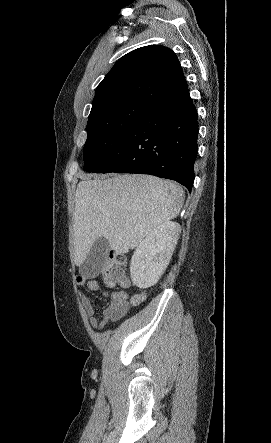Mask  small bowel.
<instances>
[{
	"label": "small bowel",
	"instance_id": "c3829d8e",
	"mask_svg": "<svg viewBox=\"0 0 271 443\" xmlns=\"http://www.w3.org/2000/svg\"><path fill=\"white\" fill-rule=\"evenodd\" d=\"M76 281L79 287L101 292L104 296L110 299L109 305L102 311V313L96 315V310L91 299L84 293H80V299L89 317V322L91 326L98 329L104 328L109 322L120 320L127 315L131 306H137L144 300L143 293L136 294L130 298L129 293L124 290L112 293L103 291L99 282L95 279L78 276Z\"/></svg>",
	"mask_w": 271,
	"mask_h": 443
}]
</instances>
